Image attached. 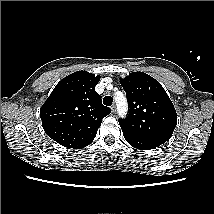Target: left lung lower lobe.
Wrapping results in <instances>:
<instances>
[{
	"mask_svg": "<svg viewBox=\"0 0 214 214\" xmlns=\"http://www.w3.org/2000/svg\"><path fill=\"white\" fill-rule=\"evenodd\" d=\"M123 136L131 146L140 150L154 149L161 145L152 140L136 137L127 133H123Z\"/></svg>",
	"mask_w": 214,
	"mask_h": 214,
	"instance_id": "left-lung-lower-lobe-1",
	"label": "left lung lower lobe"
}]
</instances>
